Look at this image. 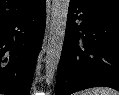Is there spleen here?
<instances>
[{"label":"spleen","mask_w":119,"mask_h":95,"mask_svg":"<svg viewBox=\"0 0 119 95\" xmlns=\"http://www.w3.org/2000/svg\"><path fill=\"white\" fill-rule=\"evenodd\" d=\"M77 95H119V92L107 87H96L79 92Z\"/></svg>","instance_id":"1"}]
</instances>
